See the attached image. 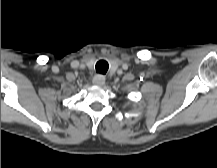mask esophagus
I'll return each mask as SVG.
<instances>
[{"mask_svg":"<svg viewBox=\"0 0 217 168\" xmlns=\"http://www.w3.org/2000/svg\"><path fill=\"white\" fill-rule=\"evenodd\" d=\"M92 83L96 86H103L105 84V77L103 75H95Z\"/></svg>","mask_w":217,"mask_h":168,"instance_id":"34e87169","label":"esophagus"}]
</instances>
